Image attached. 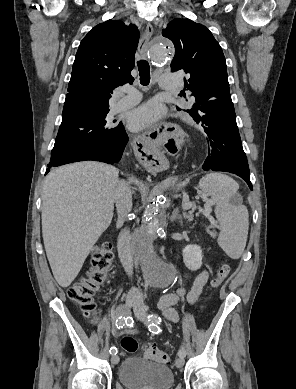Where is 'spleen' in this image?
I'll return each instance as SVG.
<instances>
[{
  "label": "spleen",
  "mask_w": 296,
  "mask_h": 389,
  "mask_svg": "<svg viewBox=\"0 0 296 389\" xmlns=\"http://www.w3.org/2000/svg\"><path fill=\"white\" fill-rule=\"evenodd\" d=\"M201 191L216 204L215 214L220 225L218 244L232 259H239L244 252L249 214L241 199H237L239 185L222 173H209L199 181Z\"/></svg>",
  "instance_id": "1"
}]
</instances>
